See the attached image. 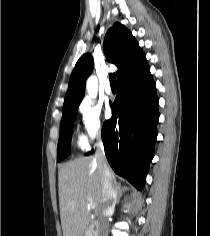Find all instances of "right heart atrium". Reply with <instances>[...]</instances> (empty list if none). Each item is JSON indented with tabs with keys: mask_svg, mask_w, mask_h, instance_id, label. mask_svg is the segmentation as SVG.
<instances>
[{
	"mask_svg": "<svg viewBox=\"0 0 210 236\" xmlns=\"http://www.w3.org/2000/svg\"><path fill=\"white\" fill-rule=\"evenodd\" d=\"M79 112L83 129V139L87 143H90L100 138L103 132V118L100 107L86 100L80 105Z\"/></svg>",
	"mask_w": 210,
	"mask_h": 236,
	"instance_id": "d8ad5b80",
	"label": "right heart atrium"
}]
</instances>
